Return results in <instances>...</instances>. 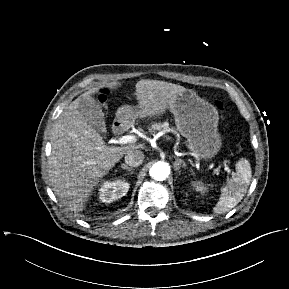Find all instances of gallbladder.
Returning a JSON list of instances; mask_svg holds the SVG:
<instances>
[{"instance_id": "bac80fb5", "label": "gallbladder", "mask_w": 289, "mask_h": 289, "mask_svg": "<svg viewBox=\"0 0 289 289\" xmlns=\"http://www.w3.org/2000/svg\"><path fill=\"white\" fill-rule=\"evenodd\" d=\"M86 102H81L80 112L83 114L87 123L90 124L95 130L106 133V125L104 120V113L100 105L93 99L89 105Z\"/></svg>"}]
</instances>
